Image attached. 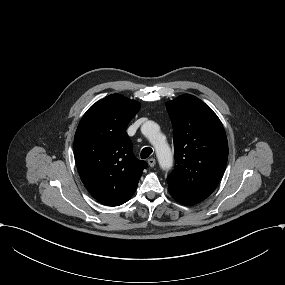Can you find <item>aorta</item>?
Listing matches in <instances>:
<instances>
[{
  "label": "aorta",
  "instance_id": "762f6f07",
  "mask_svg": "<svg viewBox=\"0 0 285 285\" xmlns=\"http://www.w3.org/2000/svg\"><path fill=\"white\" fill-rule=\"evenodd\" d=\"M157 125L148 122L143 125L142 133L150 140L156 150V155L160 166L168 169L172 166L173 157L169 145L161 139V135L157 129Z\"/></svg>",
  "mask_w": 285,
  "mask_h": 285
}]
</instances>
